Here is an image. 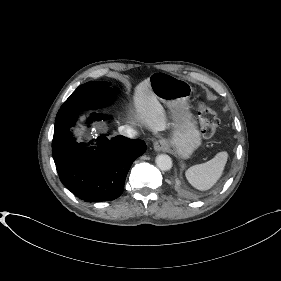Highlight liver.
<instances>
[{
  "instance_id": "6515ba94",
  "label": "liver",
  "mask_w": 281,
  "mask_h": 281,
  "mask_svg": "<svg viewBox=\"0 0 281 281\" xmlns=\"http://www.w3.org/2000/svg\"><path fill=\"white\" fill-rule=\"evenodd\" d=\"M134 103L136 111L143 122L153 131L164 129L162 107L153 93L149 79L135 87ZM81 135L82 131H78Z\"/></svg>"
}]
</instances>
